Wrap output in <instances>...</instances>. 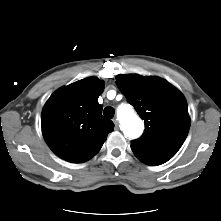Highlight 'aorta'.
<instances>
[{"instance_id": "aorta-1", "label": "aorta", "mask_w": 221, "mask_h": 221, "mask_svg": "<svg viewBox=\"0 0 221 221\" xmlns=\"http://www.w3.org/2000/svg\"><path fill=\"white\" fill-rule=\"evenodd\" d=\"M117 116L123 128L125 136L135 139L138 138L144 129L143 122L134 113L131 105H121L118 107Z\"/></svg>"}]
</instances>
